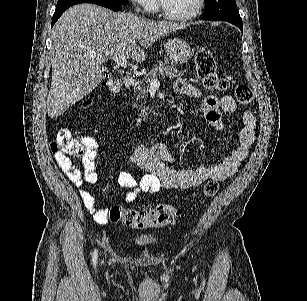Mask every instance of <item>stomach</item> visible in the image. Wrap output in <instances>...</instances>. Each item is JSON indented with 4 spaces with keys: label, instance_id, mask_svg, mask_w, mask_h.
Instances as JSON below:
<instances>
[{
    "label": "stomach",
    "instance_id": "0dacf381",
    "mask_svg": "<svg viewBox=\"0 0 307 301\" xmlns=\"http://www.w3.org/2000/svg\"><path fill=\"white\" fill-rule=\"evenodd\" d=\"M165 52L173 64H182V62H188L190 56H192V50L189 42L186 38H168L165 42Z\"/></svg>",
    "mask_w": 307,
    "mask_h": 301
}]
</instances>
